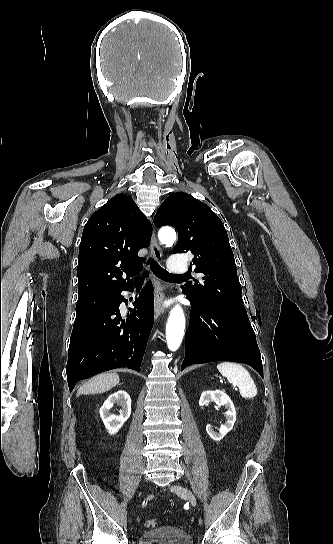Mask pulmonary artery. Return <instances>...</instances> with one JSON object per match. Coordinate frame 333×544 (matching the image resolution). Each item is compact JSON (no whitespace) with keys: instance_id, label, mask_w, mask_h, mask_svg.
Returning <instances> with one entry per match:
<instances>
[{"instance_id":"e3ab8cb5","label":"pulmonary artery","mask_w":333,"mask_h":544,"mask_svg":"<svg viewBox=\"0 0 333 544\" xmlns=\"http://www.w3.org/2000/svg\"><path fill=\"white\" fill-rule=\"evenodd\" d=\"M186 260L180 255H174L169 261V270L174 274H183L187 271Z\"/></svg>"}]
</instances>
